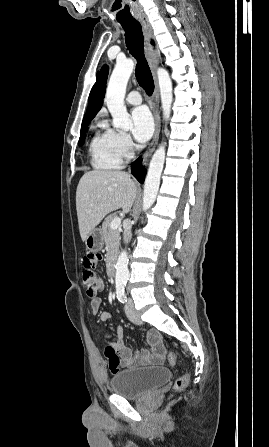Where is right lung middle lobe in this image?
Listing matches in <instances>:
<instances>
[{"instance_id":"1","label":"right lung middle lobe","mask_w":269,"mask_h":447,"mask_svg":"<svg viewBox=\"0 0 269 447\" xmlns=\"http://www.w3.org/2000/svg\"><path fill=\"white\" fill-rule=\"evenodd\" d=\"M88 124H89V123H88ZM88 124H85V125H83V126L81 127L80 139H79V143H78L79 146H82V145L84 144V141H85V132H86V129H87Z\"/></svg>"}]
</instances>
